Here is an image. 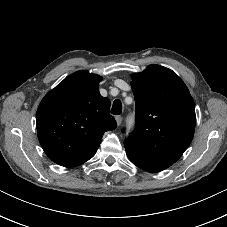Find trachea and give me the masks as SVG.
I'll use <instances>...</instances> for the list:
<instances>
[{"instance_id":"1","label":"trachea","mask_w":227,"mask_h":227,"mask_svg":"<svg viewBox=\"0 0 227 227\" xmlns=\"http://www.w3.org/2000/svg\"><path fill=\"white\" fill-rule=\"evenodd\" d=\"M122 112V103L120 100L116 99L114 102H113V106L111 108V113L113 115H120Z\"/></svg>"}]
</instances>
